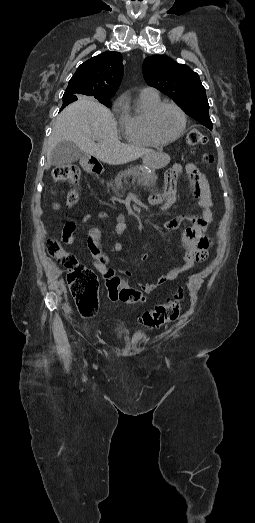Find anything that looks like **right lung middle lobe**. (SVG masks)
Wrapping results in <instances>:
<instances>
[{
	"label": "right lung middle lobe",
	"mask_w": 255,
	"mask_h": 523,
	"mask_svg": "<svg viewBox=\"0 0 255 523\" xmlns=\"http://www.w3.org/2000/svg\"><path fill=\"white\" fill-rule=\"evenodd\" d=\"M98 101L107 107H112V103H111L110 99H99Z\"/></svg>",
	"instance_id": "obj_1"
}]
</instances>
